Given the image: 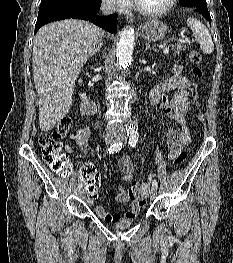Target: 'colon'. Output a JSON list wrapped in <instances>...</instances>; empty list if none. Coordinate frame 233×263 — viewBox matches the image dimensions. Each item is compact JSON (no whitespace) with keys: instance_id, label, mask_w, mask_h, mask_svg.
Here are the masks:
<instances>
[{"instance_id":"5ec220e1","label":"colon","mask_w":233,"mask_h":263,"mask_svg":"<svg viewBox=\"0 0 233 263\" xmlns=\"http://www.w3.org/2000/svg\"><path fill=\"white\" fill-rule=\"evenodd\" d=\"M189 58L194 65L192 75L199 79L202 77V70L199 67L201 62V55L199 52L192 50L189 53ZM195 104L198 105L196 86L192 87ZM72 127V120L69 117L62 118L54 128L40 135L39 144L42 152V157L49 168L57 173L67 174L70 171L69 159L62 151V139L69 133ZM187 158L185 152L179 153L174 159V166L182 165ZM81 175H77L78 183H84L86 190H82V195H89V199H98L97 189L99 186L100 176L97 171H81ZM67 178L66 176L64 177ZM150 178L146 182L149 184Z\"/></svg>"}]
</instances>
